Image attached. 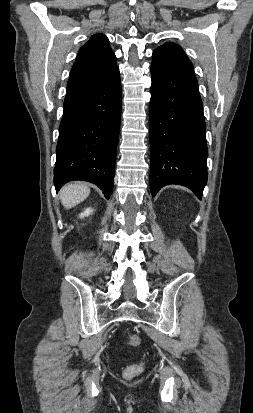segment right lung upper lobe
<instances>
[{"label":"right lung upper lobe","mask_w":253,"mask_h":413,"mask_svg":"<svg viewBox=\"0 0 253 413\" xmlns=\"http://www.w3.org/2000/svg\"><path fill=\"white\" fill-rule=\"evenodd\" d=\"M108 38L95 34L84 44L71 69L65 100L90 92L104 83L117 69Z\"/></svg>","instance_id":"cb5924a9"}]
</instances>
